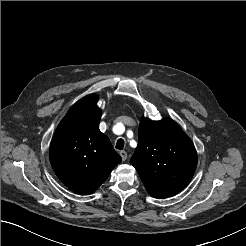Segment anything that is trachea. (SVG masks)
I'll return each instance as SVG.
<instances>
[{"label": "trachea", "mask_w": 246, "mask_h": 246, "mask_svg": "<svg viewBox=\"0 0 246 246\" xmlns=\"http://www.w3.org/2000/svg\"><path fill=\"white\" fill-rule=\"evenodd\" d=\"M124 147V140L123 139H119L116 143V149L122 150Z\"/></svg>", "instance_id": "3493384b"}]
</instances>
